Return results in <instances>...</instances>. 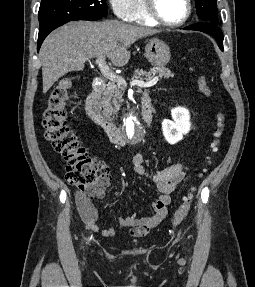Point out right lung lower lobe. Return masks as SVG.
<instances>
[{"mask_svg": "<svg viewBox=\"0 0 255 287\" xmlns=\"http://www.w3.org/2000/svg\"><path fill=\"white\" fill-rule=\"evenodd\" d=\"M67 22H63V23H59V24H55V25H51V26H47V27H44V28H41L39 30V36H38V46H37V50L40 49V46L42 44V42L44 41V39L46 38V36L52 32L54 29H56L57 27L65 24Z\"/></svg>", "mask_w": 255, "mask_h": 287, "instance_id": "right-lung-lower-lobe-1", "label": "right lung lower lobe"}]
</instances>
